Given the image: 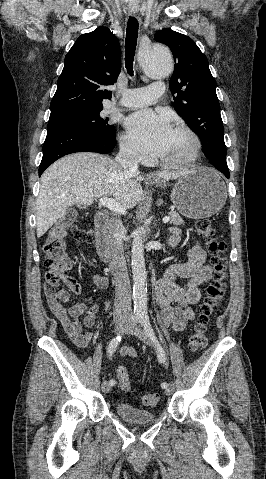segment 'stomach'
I'll use <instances>...</instances> for the list:
<instances>
[{"instance_id": "0dacf381", "label": "stomach", "mask_w": 266, "mask_h": 479, "mask_svg": "<svg viewBox=\"0 0 266 479\" xmlns=\"http://www.w3.org/2000/svg\"><path fill=\"white\" fill-rule=\"evenodd\" d=\"M158 185L165 187L162 182ZM227 190L216 171L200 167L180 176L173 184L171 200L177 210L191 219L207 218L225 204Z\"/></svg>"}]
</instances>
